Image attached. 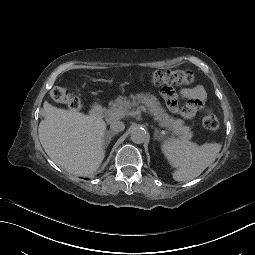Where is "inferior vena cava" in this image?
Masks as SVG:
<instances>
[{"label": "inferior vena cava", "mask_w": 255, "mask_h": 255, "mask_svg": "<svg viewBox=\"0 0 255 255\" xmlns=\"http://www.w3.org/2000/svg\"><path fill=\"white\" fill-rule=\"evenodd\" d=\"M110 128L113 132L119 133V132L124 131L125 124H124V122L117 120V121H114L111 123Z\"/></svg>", "instance_id": "1"}]
</instances>
